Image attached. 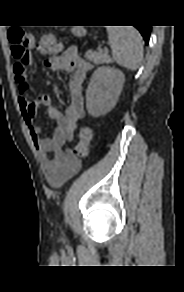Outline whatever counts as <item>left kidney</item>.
Returning a JSON list of instances; mask_svg holds the SVG:
<instances>
[{
  "label": "left kidney",
  "instance_id": "1",
  "mask_svg": "<svg viewBox=\"0 0 184 292\" xmlns=\"http://www.w3.org/2000/svg\"><path fill=\"white\" fill-rule=\"evenodd\" d=\"M124 74L114 67L101 66L97 68L86 92V108L93 117H99L110 112L116 105L123 89Z\"/></svg>",
  "mask_w": 184,
  "mask_h": 292
}]
</instances>
